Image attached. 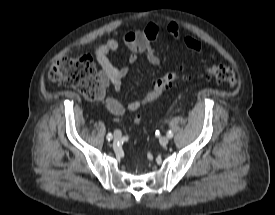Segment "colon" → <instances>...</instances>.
Wrapping results in <instances>:
<instances>
[{
  "label": "colon",
  "instance_id": "obj_1",
  "mask_svg": "<svg viewBox=\"0 0 275 215\" xmlns=\"http://www.w3.org/2000/svg\"><path fill=\"white\" fill-rule=\"evenodd\" d=\"M49 75L53 82L78 90L88 100H99L103 97L104 90L96 76L94 62L87 53L74 58L56 59L51 66ZM201 76L208 80L214 79L229 88H234L237 85L235 72L224 65H208L203 69ZM189 78L190 75L184 71L164 75L155 82L153 90L141 100V106L159 99L164 91ZM140 120L141 114L137 113L135 122L138 123Z\"/></svg>",
  "mask_w": 275,
  "mask_h": 215
}]
</instances>
